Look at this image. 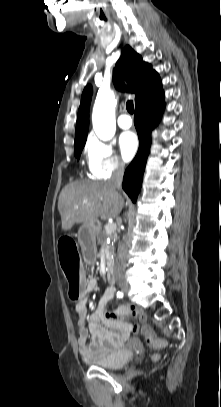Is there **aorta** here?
Listing matches in <instances>:
<instances>
[{"instance_id":"obj_1","label":"aorta","mask_w":221,"mask_h":407,"mask_svg":"<svg viewBox=\"0 0 221 407\" xmlns=\"http://www.w3.org/2000/svg\"><path fill=\"white\" fill-rule=\"evenodd\" d=\"M115 107L116 99L112 91L97 94L92 113V123L96 135L103 141L112 139L115 134Z\"/></svg>"}]
</instances>
